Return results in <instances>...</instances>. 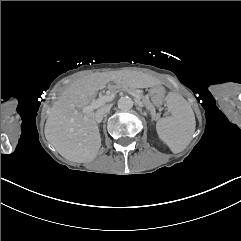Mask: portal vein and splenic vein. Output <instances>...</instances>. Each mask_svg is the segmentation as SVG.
I'll use <instances>...</instances> for the list:
<instances>
[{
  "label": "portal vein and splenic vein",
  "instance_id": "obj_1",
  "mask_svg": "<svg viewBox=\"0 0 241 241\" xmlns=\"http://www.w3.org/2000/svg\"><path fill=\"white\" fill-rule=\"evenodd\" d=\"M125 92H128L129 94H131L132 97L137 98V101H142V96H138L137 92H133L130 89H125ZM114 98H115L114 93L100 96L98 99H95L94 101H92L90 105L85 107L84 112L93 111L103 106L105 103L113 101Z\"/></svg>",
  "mask_w": 241,
  "mask_h": 241
}]
</instances>
